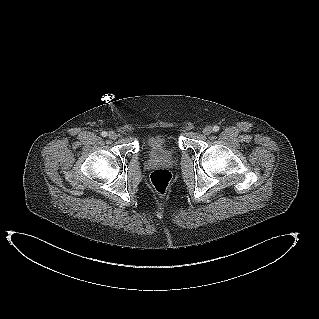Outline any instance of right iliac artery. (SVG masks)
<instances>
[{"label":"right iliac artery","mask_w":319,"mask_h":319,"mask_svg":"<svg viewBox=\"0 0 319 319\" xmlns=\"http://www.w3.org/2000/svg\"><path fill=\"white\" fill-rule=\"evenodd\" d=\"M101 135H102L103 137H106V136H107V132H106V131H103V132L101 133Z\"/></svg>","instance_id":"right-iliac-artery-1"}]
</instances>
